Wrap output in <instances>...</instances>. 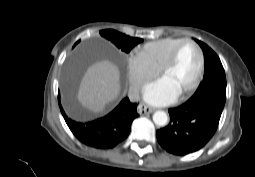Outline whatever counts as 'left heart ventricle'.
<instances>
[{"label": "left heart ventricle", "instance_id": "b2bd125f", "mask_svg": "<svg viewBox=\"0 0 255 177\" xmlns=\"http://www.w3.org/2000/svg\"><path fill=\"white\" fill-rule=\"evenodd\" d=\"M199 63L197 49L191 44H186L180 49L174 66L162 78L168 81L179 94L194 82Z\"/></svg>", "mask_w": 255, "mask_h": 177}]
</instances>
